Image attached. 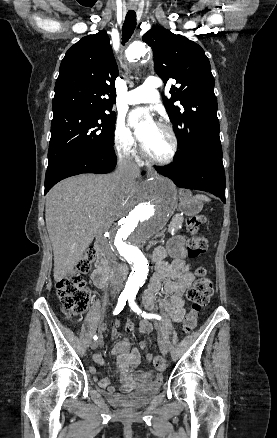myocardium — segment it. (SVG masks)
<instances>
[{
  "label": "myocardium",
  "mask_w": 277,
  "mask_h": 438,
  "mask_svg": "<svg viewBox=\"0 0 277 438\" xmlns=\"http://www.w3.org/2000/svg\"><path fill=\"white\" fill-rule=\"evenodd\" d=\"M156 126L159 127L160 129H162L164 132H166V134L170 137V139L172 141V150H171L170 155L166 159H158V158L152 157L146 152L143 143L140 144L141 153H142L143 157H145L147 159V161L152 163V164L161 165V166L168 165L175 160V158L178 154L179 139H178L175 131L173 130V128L170 127L169 125H167L165 123H156Z\"/></svg>",
  "instance_id": "1"
}]
</instances>
